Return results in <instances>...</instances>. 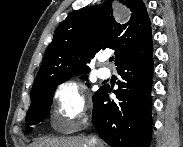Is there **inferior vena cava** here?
<instances>
[{
  "instance_id": "1",
  "label": "inferior vena cava",
  "mask_w": 183,
  "mask_h": 147,
  "mask_svg": "<svg viewBox=\"0 0 183 147\" xmlns=\"http://www.w3.org/2000/svg\"><path fill=\"white\" fill-rule=\"evenodd\" d=\"M89 147H102V143L95 136H92L89 140Z\"/></svg>"
}]
</instances>
